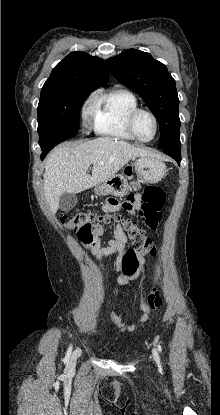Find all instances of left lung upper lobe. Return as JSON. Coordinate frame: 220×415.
Wrapping results in <instances>:
<instances>
[{"label":"left lung upper lobe","instance_id":"obj_1","mask_svg":"<svg viewBox=\"0 0 220 415\" xmlns=\"http://www.w3.org/2000/svg\"><path fill=\"white\" fill-rule=\"evenodd\" d=\"M113 76L145 100L160 126L159 146L181 150L179 99L166 66L149 53L128 49L106 61Z\"/></svg>","mask_w":220,"mask_h":415}]
</instances>
